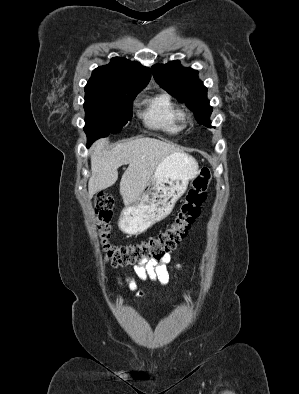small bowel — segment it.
<instances>
[{
  "instance_id": "1",
  "label": "small bowel",
  "mask_w": 299,
  "mask_h": 394,
  "mask_svg": "<svg viewBox=\"0 0 299 394\" xmlns=\"http://www.w3.org/2000/svg\"><path fill=\"white\" fill-rule=\"evenodd\" d=\"M171 256L167 255L160 260H147L134 266L135 276L126 273L123 277H118L117 283L121 287L124 284L132 291H136L138 295H143L142 291H138L136 278L140 280L158 281L162 285H167L170 279V262ZM178 266V265H177Z\"/></svg>"
}]
</instances>
